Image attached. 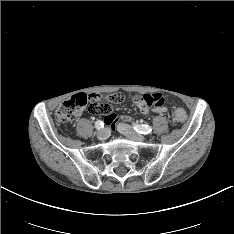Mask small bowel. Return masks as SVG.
Wrapping results in <instances>:
<instances>
[{
	"instance_id": "1",
	"label": "small bowel",
	"mask_w": 234,
	"mask_h": 234,
	"mask_svg": "<svg viewBox=\"0 0 234 234\" xmlns=\"http://www.w3.org/2000/svg\"><path fill=\"white\" fill-rule=\"evenodd\" d=\"M124 99L123 93H116L112 95L103 96L101 94L92 93L88 95L86 102L88 104V111L91 114L103 117L102 122L104 126L111 128L115 126L117 117L114 114L115 109L113 105L109 104L112 102H120ZM109 102V103H108ZM130 102L132 106L140 109L143 113H148L149 108H154L153 111L159 114L166 113L168 108L164 106L166 103V96L163 93H147L132 95ZM122 120L128 121V116H122Z\"/></svg>"
}]
</instances>
